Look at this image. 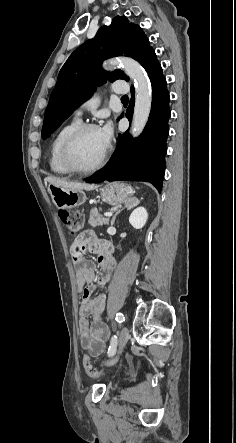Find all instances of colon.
<instances>
[{
	"label": "colon",
	"mask_w": 236,
	"mask_h": 443,
	"mask_svg": "<svg viewBox=\"0 0 236 443\" xmlns=\"http://www.w3.org/2000/svg\"><path fill=\"white\" fill-rule=\"evenodd\" d=\"M59 218L71 233H78L83 227L84 219L83 215L80 212L61 210L59 212ZM83 253L84 250L82 248H77L74 250L75 258L80 257L81 255H83ZM83 366L87 374L90 376H98L101 374V371H97L93 368V363L89 354L84 355Z\"/></svg>",
	"instance_id": "1"
}]
</instances>
